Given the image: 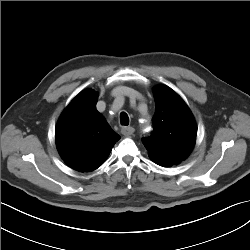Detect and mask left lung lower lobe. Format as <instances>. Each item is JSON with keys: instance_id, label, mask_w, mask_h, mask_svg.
I'll return each mask as SVG.
<instances>
[{"instance_id": "obj_1", "label": "left lung lower lobe", "mask_w": 250, "mask_h": 250, "mask_svg": "<svg viewBox=\"0 0 250 250\" xmlns=\"http://www.w3.org/2000/svg\"><path fill=\"white\" fill-rule=\"evenodd\" d=\"M153 161L161 166H172L176 164L175 162H170V161H165V160H153Z\"/></svg>"}]
</instances>
